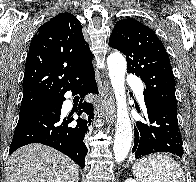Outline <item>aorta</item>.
<instances>
[{
    "instance_id": "762f6f07",
    "label": "aorta",
    "mask_w": 196,
    "mask_h": 182,
    "mask_svg": "<svg viewBox=\"0 0 196 182\" xmlns=\"http://www.w3.org/2000/svg\"><path fill=\"white\" fill-rule=\"evenodd\" d=\"M107 65L117 102V123L113 151L115 160L122 162L127 157L132 143V125L125 92L126 60L121 53L114 52L108 56Z\"/></svg>"
}]
</instances>
